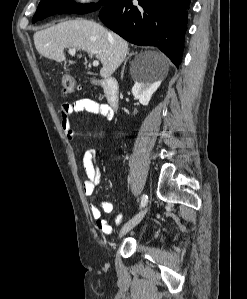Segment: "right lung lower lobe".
I'll return each instance as SVG.
<instances>
[{
	"label": "right lung lower lobe",
	"instance_id": "right-lung-lower-lobe-1",
	"mask_svg": "<svg viewBox=\"0 0 247 299\" xmlns=\"http://www.w3.org/2000/svg\"><path fill=\"white\" fill-rule=\"evenodd\" d=\"M118 0L104 6L102 22L125 40L140 46H156L178 67L190 0Z\"/></svg>",
	"mask_w": 247,
	"mask_h": 299
}]
</instances>
